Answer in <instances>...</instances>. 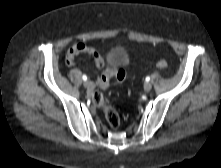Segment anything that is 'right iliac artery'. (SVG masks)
Here are the masks:
<instances>
[{
  "instance_id": "right-iliac-artery-1",
  "label": "right iliac artery",
  "mask_w": 221,
  "mask_h": 168,
  "mask_svg": "<svg viewBox=\"0 0 221 168\" xmlns=\"http://www.w3.org/2000/svg\"><path fill=\"white\" fill-rule=\"evenodd\" d=\"M82 79H83L84 81H86V80H87V76H86V75H83V76H82Z\"/></svg>"
}]
</instances>
